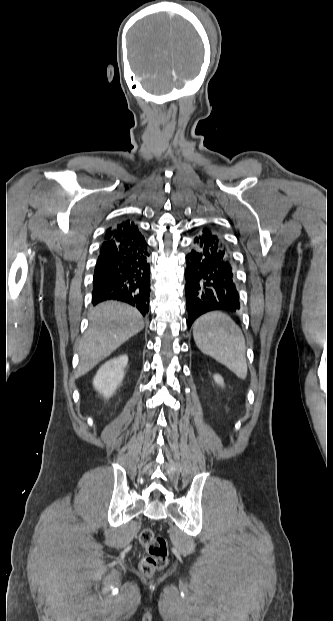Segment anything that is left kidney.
Returning <instances> with one entry per match:
<instances>
[{"mask_svg":"<svg viewBox=\"0 0 333 621\" xmlns=\"http://www.w3.org/2000/svg\"><path fill=\"white\" fill-rule=\"evenodd\" d=\"M214 380H215V382H216L217 384H219V385H221V386H223V385H224V380H223V378H222L220 375L215 374V375H214Z\"/></svg>","mask_w":333,"mask_h":621,"instance_id":"5707ae66","label":"left kidney"}]
</instances>
